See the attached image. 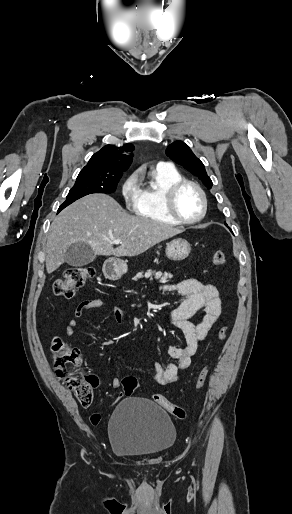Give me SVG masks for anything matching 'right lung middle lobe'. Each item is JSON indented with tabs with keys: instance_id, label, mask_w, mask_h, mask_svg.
<instances>
[{
	"instance_id": "dd1d6c3e",
	"label": "right lung middle lobe",
	"mask_w": 292,
	"mask_h": 514,
	"mask_svg": "<svg viewBox=\"0 0 292 514\" xmlns=\"http://www.w3.org/2000/svg\"><path fill=\"white\" fill-rule=\"evenodd\" d=\"M119 180L120 178L78 175L74 186L70 189L66 197V201L59 207L58 212L88 194L114 193Z\"/></svg>"
}]
</instances>
